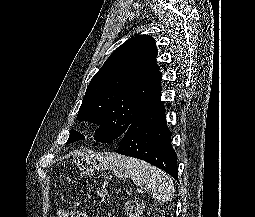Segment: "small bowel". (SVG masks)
Wrapping results in <instances>:
<instances>
[{"label":"small bowel","instance_id":"1","mask_svg":"<svg viewBox=\"0 0 255 217\" xmlns=\"http://www.w3.org/2000/svg\"><path fill=\"white\" fill-rule=\"evenodd\" d=\"M76 217H88V215L84 212H80V213L77 214Z\"/></svg>","mask_w":255,"mask_h":217}]
</instances>
